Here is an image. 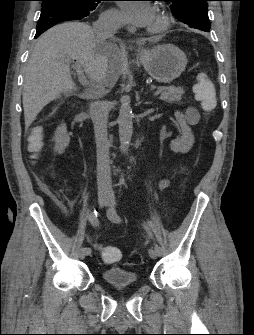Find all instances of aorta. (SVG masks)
I'll return each instance as SVG.
<instances>
[{
    "label": "aorta",
    "mask_w": 254,
    "mask_h": 335,
    "mask_svg": "<svg viewBox=\"0 0 254 335\" xmlns=\"http://www.w3.org/2000/svg\"><path fill=\"white\" fill-rule=\"evenodd\" d=\"M120 101L121 107L118 117L120 149L122 153H127L133 134V113L129 95H123Z\"/></svg>",
    "instance_id": "762f6f07"
}]
</instances>
